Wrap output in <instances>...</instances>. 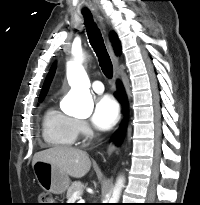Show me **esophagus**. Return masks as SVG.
I'll use <instances>...</instances> for the list:
<instances>
[{
    "instance_id": "1",
    "label": "esophagus",
    "mask_w": 200,
    "mask_h": 205,
    "mask_svg": "<svg viewBox=\"0 0 200 205\" xmlns=\"http://www.w3.org/2000/svg\"><path fill=\"white\" fill-rule=\"evenodd\" d=\"M96 18L103 25V18L99 14H96ZM108 50H109L110 56L114 64L115 78H119V60H118V57L115 55L113 48L109 41H108ZM115 150H116V145H115V142L112 141L108 147L107 156H110Z\"/></svg>"
}]
</instances>
